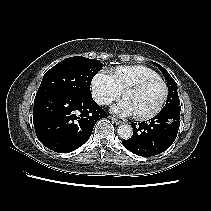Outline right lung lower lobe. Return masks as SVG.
<instances>
[{
	"mask_svg": "<svg viewBox=\"0 0 211 211\" xmlns=\"http://www.w3.org/2000/svg\"><path fill=\"white\" fill-rule=\"evenodd\" d=\"M107 117L92 97L49 94L35 97L33 123L39 141L55 152H72L90 137L96 122Z\"/></svg>",
	"mask_w": 211,
	"mask_h": 211,
	"instance_id": "98d812e1",
	"label": "right lung lower lobe"
}]
</instances>
